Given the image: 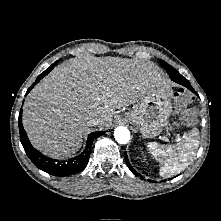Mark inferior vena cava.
<instances>
[{"instance_id":"1","label":"inferior vena cava","mask_w":221,"mask_h":221,"mask_svg":"<svg viewBox=\"0 0 221 221\" xmlns=\"http://www.w3.org/2000/svg\"><path fill=\"white\" fill-rule=\"evenodd\" d=\"M87 123L89 126H96L100 124V119L97 117H94V118L89 119Z\"/></svg>"}]
</instances>
